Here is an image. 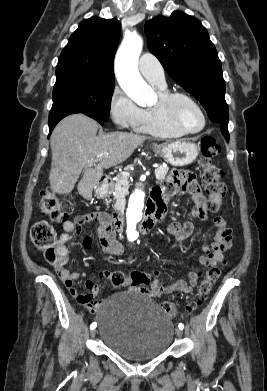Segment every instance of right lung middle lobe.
Masks as SVG:
<instances>
[{"instance_id":"dd1d6c3e","label":"right lung middle lobe","mask_w":267,"mask_h":391,"mask_svg":"<svg viewBox=\"0 0 267 391\" xmlns=\"http://www.w3.org/2000/svg\"><path fill=\"white\" fill-rule=\"evenodd\" d=\"M114 86V76L70 73L56 77L49 120L76 111L108 121Z\"/></svg>"}]
</instances>
